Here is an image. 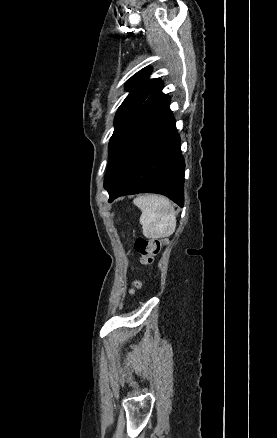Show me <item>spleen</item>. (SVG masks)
<instances>
[{
	"label": "spleen",
	"mask_w": 277,
	"mask_h": 438,
	"mask_svg": "<svg viewBox=\"0 0 277 438\" xmlns=\"http://www.w3.org/2000/svg\"><path fill=\"white\" fill-rule=\"evenodd\" d=\"M140 208V224L145 238H166L175 232V210L168 198L163 196H139L133 200Z\"/></svg>",
	"instance_id": "1"
}]
</instances>
